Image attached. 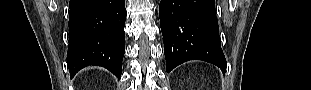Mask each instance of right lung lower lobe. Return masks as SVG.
<instances>
[{"mask_svg": "<svg viewBox=\"0 0 311 90\" xmlns=\"http://www.w3.org/2000/svg\"><path fill=\"white\" fill-rule=\"evenodd\" d=\"M67 66H102L121 78L125 53V0H70Z\"/></svg>", "mask_w": 311, "mask_h": 90, "instance_id": "right-lung-lower-lobe-1", "label": "right lung lower lobe"}]
</instances>
